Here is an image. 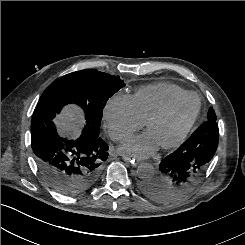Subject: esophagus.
<instances>
[{
  "mask_svg": "<svg viewBox=\"0 0 245 245\" xmlns=\"http://www.w3.org/2000/svg\"><path fill=\"white\" fill-rule=\"evenodd\" d=\"M123 160L128 162L132 167H136L140 164V160L128 156H123Z\"/></svg>",
  "mask_w": 245,
  "mask_h": 245,
  "instance_id": "obj_1",
  "label": "esophagus"
}]
</instances>
